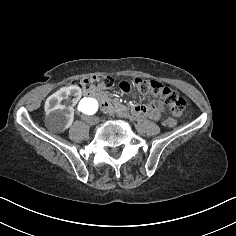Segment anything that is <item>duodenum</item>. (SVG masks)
I'll list each match as a JSON object with an SVG mask.
<instances>
[{
    "label": "duodenum",
    "instance_id": "1",
    "mask_svg": "<svg viewBox=\"0 0 236 236\" xmlns=\"http://www.w3.org/2000/svg\"><path fill=\"white\" fill-rule=\"evenodd\" d=\"M84 94L88 97L95 98L102 111L112 115H128L133 113V107H128L121 103L112 102L106 96L95 90H85Z\"/></svg>",
    "mask_w": 236,
    "mask_h": 236
}]
</instances>
